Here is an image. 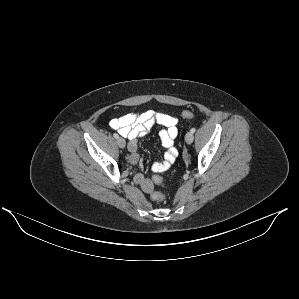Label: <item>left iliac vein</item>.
<instances>
[{
    "instance_id": "4c4485c4",
    "label": "left iliac vein",
    "mask_w": 299,
    "mask_h": 299,
    "mask_svg": "<svg viewBox=\"0 0 299 299\" xmlns=\"http://www.w3.org/2000/svg\"><path fill=\"white\" fill-rule=\"evenodd\" d=\"M193 139H194L193 133L191 131L187 132L186 135H185L186 143L191 144L193 142Z\"/></svg>"
}]
</instances>
